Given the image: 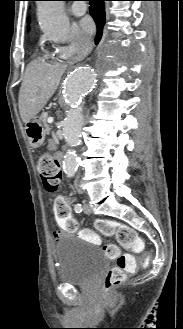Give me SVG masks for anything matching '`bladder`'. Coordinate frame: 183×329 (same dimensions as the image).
Listing matches in <instances>:
<instances>
[{"label": "bladder", "mask_w": 183, "mask_h": 329, "mask_svg": "<svg viewBox=\"0 0 183 329\" xmlns=\"http://www.w3.org/2000/svg\"><path fill=\"white\" fill-rule=\"evenodd\" d=\"M58 279L68 284H85L108 268V258L91 242L76 236H63L54 245Z\"/></svg>", "instance_id": "obj_1"}]
</instances>
